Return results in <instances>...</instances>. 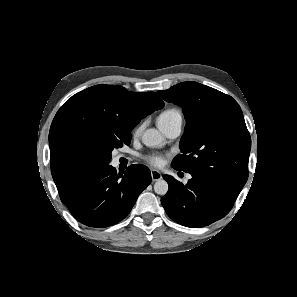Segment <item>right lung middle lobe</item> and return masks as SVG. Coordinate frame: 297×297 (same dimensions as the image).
Listing matches in <instances>:
<instances>
[{
  "label": "right lung middle lobe",
  "instance_id": "right-lung-middle-lobe-1",
  "mask_svg": "<svg viewBox=\"0 0 297 297\" xmlns=\"http://www.w3.org/2000/svg\"><path fill=\"white\" fill-rule=\"evenodd\" d=\"M131 140V136L126 138L117 139L107 143L102 150L103 156V165L108 166L110 159H111V152L114 148H119L122 146V143L129 144Z\"/></svg>",
  "mask_w": 297,
  "mask_h": 297
}]
</instances>
